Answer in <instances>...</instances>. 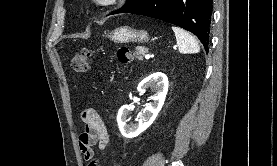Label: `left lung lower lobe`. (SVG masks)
<instances>
[{
    "label": "left lung lower lobe",
    "instance_id": "0a47b994",
    "mask_svg": "<svg viewBox=\"0 0 277 166\" xmlns=\"http://www.w3.org/2000/svg\"><path fill=\"white\" fill-rule=\"evenodd\" d=\"M212 0H144L132 13L163 20L194 33L208 52Z\"/></svg>",
    "mask_w": 277,
    "mask_h": 166
}]
</instances>
